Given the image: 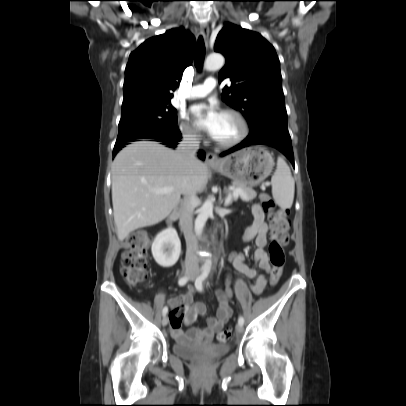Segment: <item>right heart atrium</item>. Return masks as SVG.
<instances>
[{
    "label": "right heart atrium",
    "instance_id": "right-heart-atrium-1",
    "mask_svg": "<svg viewBox=\"0 0 406 406\" xmlns=\"http://www.w3.org/2000/svg\"><path fill=\"white\" fill-rule=\"evenodd\" d=\"M179 130L185 140L196 142L200 140V134L195 128L188 124L184 117L180 118Z\"/></svg>",
    "mask_w": 406,
    "mask_h": 406
}]
</instances>
